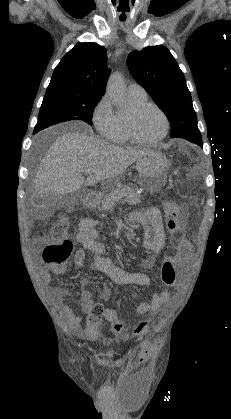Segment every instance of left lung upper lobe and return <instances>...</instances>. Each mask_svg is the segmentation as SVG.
Here are the masks:
<instances>
[{"label": "left lung upper lobe", "mask_w": 231, "mask_h": 419, "mask_svg": "<svg viewBox=\"0 0 231 419\" xmlns=\"http://www.w3.org/2000/svg\"><path fill=\"white\" fill-rule=\"evenodd\" d=\"M127 64L134 79L168 116L171 138H201L184 74L169 50L162 45L135 50Z\"/></svg>", "instance_id": "obj_1"}]
</instances>
